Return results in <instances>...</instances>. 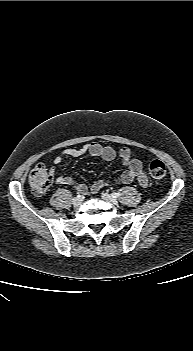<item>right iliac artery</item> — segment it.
I'll list each match as a JSON object with an SVG mask.
<instances>
[{"mask_svg": "<svg viewBox=\"0 0 193 351\" xmlns=\"http://www.w3.org/2000/svg\"><path fill=\"white\" fill-rule=\"evenodd\" d=\"M77 197H78V198H82V195L78 194Z\"/></svg>", "mask_w": 193, "mask_h": 351, "instance_id": "right-iliac-artery-1", "label": "right iliac artery"}]
</instances>
